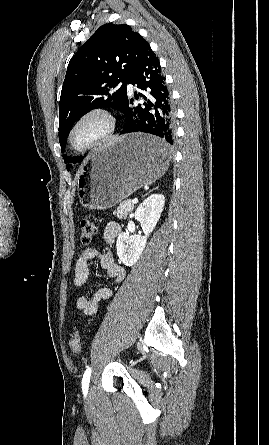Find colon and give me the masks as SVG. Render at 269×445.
Segmentation results:
<instances>
[{
	"label": "colon",
	"mask_w": 269,
	"mask_h": 445,
	"mask_svg": "<svg viewBox=\"0 0 269 445\" xmlns=\"http://www.w3.org/2000/svg\"><path fill=\"white\" fill-rule=\"evenodd\" d=\"M97 232L96 224L91 220H83L80 224V241L82 244H89ZM70 349L78 354L81 351V341L78 331H75L69 341Z\"/></svg>",
	"instance_id": "5ec220e1"
}]
</instances>
